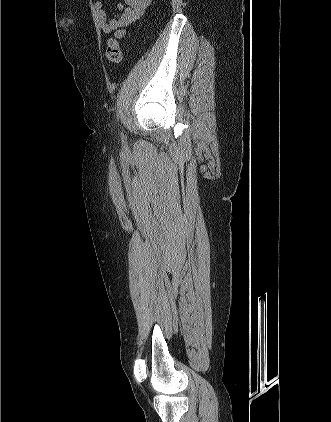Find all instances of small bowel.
Returning a JSON list of instances; mask_svg holds the SVG:
<instances>
[{"mask_svg": "<svg viewBox=\"0 0 331 422\" xmlns=\"http://www.w3.org/2000/svg\"><path fill=\"white\" fill-rule=\"evenodd\" d=\"M152 0H123L118 5V14L109 17L104 10L102 1L94 4L96 19L99 28L104 33L114 32L115 36L121 38L126 33V28L135 23L145 12Z\"/></svg>", "mask_w": 331, "mask_h": 422, "instance_id": "c3829d8e", "label": "small bowel"}]
</instances>
